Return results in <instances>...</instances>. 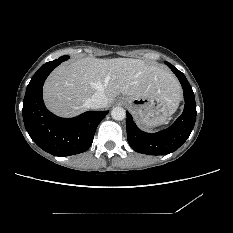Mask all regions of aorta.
Here are the masks:
<instances>
[{"label": "aorta", "mask_w": 233, "mask_h": 233, "mask_svg": "<svg viewBox=\"0 0 233 233\" xmlns=\"http://www.w3.org/2000/svg\"><path fill=\"white\" fill-rule=\"evenodd\" d=\"M111 116L114 120H123L126 117V111L122 107H115L111 111Z\"/></svg>", "instance_id": "762f6f07"}]
</instances>
